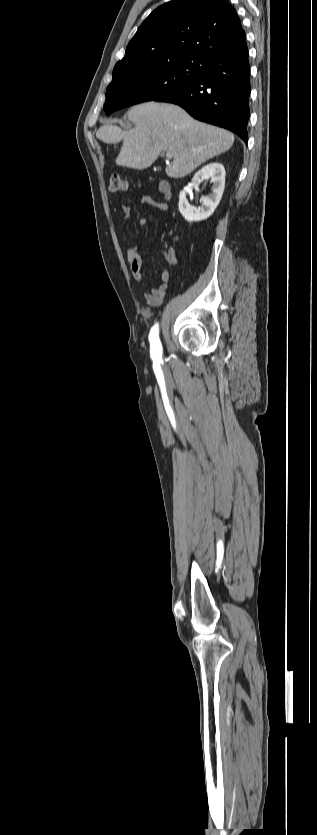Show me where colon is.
<instances>
[{
  "label": "colon",
  "instance_id": "colon-1",
  "mask_svg": "<svg viewBox=\"0 0 317 835\" xmlns=\"http://www.w3.org/2000/svg\"><path fill=\"white\" fill-rule=\"evenodd\" d=\"M128 188V184L126 180L118 175L114 174L109 179V190L113 193H120L125 192Z\"/></svg>",
  "mask_w": 317,
  "mask_h": 835
}]
</instances>
